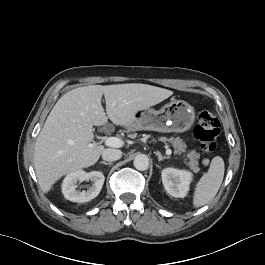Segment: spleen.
I'll return each instance as SVG.
<instances>
[{"instance_id": "obj_1", "label": "spleen", "mask_w": 265, "mask_h": 265, "mask_svg": "<svg viewBox=\"0 0 265 265\" xmlns=\"http://www.w3.org/2000/svg\"><path fill=\"white\" fill-rule=\"evenodd\" d=\"M225 171L224 161L220 156L211 160L209 170L198 181L193 195L195 208L208 204L217 194L223 181Z\"/></svg>"}]
</instances>
